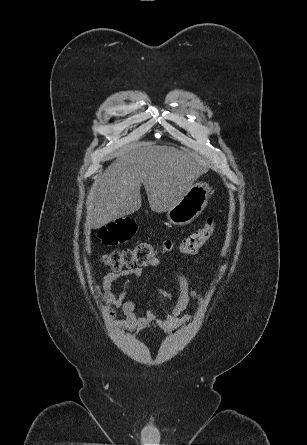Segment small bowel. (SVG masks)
<instances>
[{"label": "small bowel", "mask_w": 307, "mask_h": 445, "mask_svg": "<svg viewBox=\"0 0 307 445\" xmlns=\"http://www.w3.org/2000/svg\"><path fill=\"white\" fill-rule=\"evenodd\" d=\"M150 267H158L161 261L158 258H153L148 264ZM144 271L140 267L125 269L117 272H109L104 275L102 280V287H98L100 291L103 290L102 299L106 304V310L110 318H115L117 311L120 310L125 319L122 325L129 331H143L150 325L155 324L165 332L176 330L181 325L188 323L191 320L189 315L181 316L185 311L190 301L201 303V298L191 288V279L183 274H178L179 295L175 304L167 312L163 319H157L151 310H146L142 316L138 315V305L130 300H126L127 291L133 279L140 278ZM197 278L204 279L202 276ZM123 280L122 292L115 294L113 292L114 284ZM158 293L166 300L171 301L172 295L165 290H158Z\"/></svg>", "instance_id": "c3829d8e"}]
</instances>
